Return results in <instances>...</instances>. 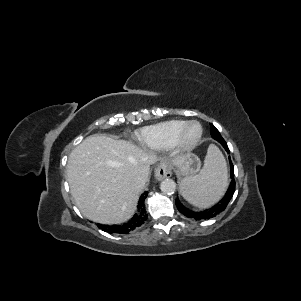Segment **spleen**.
I'll return each mask as SVG.
<instances>
[{
    "label": "spleen",
    "instance_id": "3e777b00",
    "mask_svg": "<svg viewBox=\"0 0 301 301\" xmlns=\"http://www.w3.org/2000/svg\"><path fill=\"white\" fill-rule=\"evenodd\" d=\"M228 175L226 161L215 145H210L204 166L195 176H187L180 183L183 198L193 206L206 208L216 203L226 191Z\"/></svg>",
    "mask_w": 301,
    "mask_h": 301
}]
</instances>
